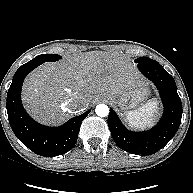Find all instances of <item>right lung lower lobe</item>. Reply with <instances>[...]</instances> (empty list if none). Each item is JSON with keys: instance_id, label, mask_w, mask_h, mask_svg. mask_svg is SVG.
Returning <instances> with one entry per match:
<instances>
[{"instance_id": "1", "label": "right lung lower lobe", "mask_w": 193, "mask_h": 193, "mask_svg": "<svg viewBox=\"0 0 193 193\" xmlns=\"http://www.w3.org/2000/svg\"><path fill=\"white\" fill-rule=\"evenodd\" d=\"M40 64L28 62L19 67L7 93L6 108L10 126L16 137L34 153L53 157L74 147L82 120L90 111L70 119L60 127H48L34 121L22 106L21 88L27 74Z\"/></svg>"}]
</instances>
